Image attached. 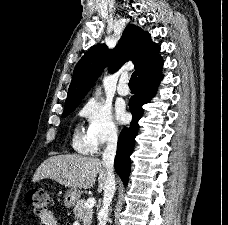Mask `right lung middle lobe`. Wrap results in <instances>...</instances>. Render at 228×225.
Returning a JSON list of instances; mask_svg holds the SVG:
<instances>
[{"label":"right lung middle lobe","mask_w":228,"mask_h":225,"mask_svg":"<svg viewBox=\"0 0 228 225\" xmlns=\"http://www.w3.org/2000/svg\"><path fill=\"white\" fill-rule=\"evenodd\" d=\"M78 105L79 104H74V105L65 107L63 117H66L69 113L73 112Z\"/></svg>","instance_id":"right-lung-middle-lobe-1"}]
</instances>
